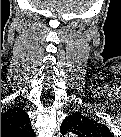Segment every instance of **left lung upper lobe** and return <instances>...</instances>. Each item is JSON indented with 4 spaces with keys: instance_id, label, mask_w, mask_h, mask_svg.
Returning a JSON list of instances; mask_svg holds the SVG:
<instances>
[{
    "instance_id": "obj_1",
    "label": "left lung upper lobe",
    "mask_w": 121,
    "mask_h": 137,
    "mask_svg": "<svg viewBox=\"0 0 121 137\" xmlns=\"http://www.w3.org/2000/svg\"><path fill=\"white\" fill-rule=\"evenodd\" d=\"M60 131L65 134L68 131L77 134H86L87 136H110V130L105 125L98 123L94 119L83 115L80 112L73 113L63 121Z\"/></svg>"
}]
</instances>
